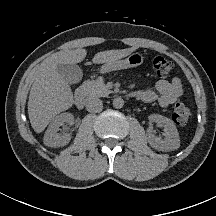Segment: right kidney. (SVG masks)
<instances>
[{
  "label": "right kidney",
  "instance_id": "ca27d5eb",
  "mask_svg": "<svg viewBox=\"0 0 216 216\" xmlns=\"http://www.w3.org/2000/svg\"><path fill=\"white\" fill-rule=\"evenodd\" d=\"M64 123H69L72 125L74 123V116L71 113H62L56 116L50 123L48 129L44 135V144L50 147H61L69 143L71 136L69 133L64 135H59L58 131L60 126Z\"/></svg>",
  "mask_w": 216,
  "mask_h": 216
}]
</instances>
